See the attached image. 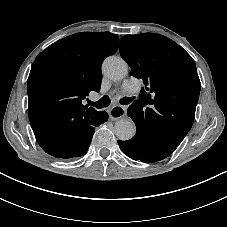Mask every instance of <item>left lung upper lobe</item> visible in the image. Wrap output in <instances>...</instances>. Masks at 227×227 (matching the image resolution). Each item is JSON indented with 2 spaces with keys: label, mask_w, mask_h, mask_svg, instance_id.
I'll return each instance as SVG.
<instances>
[{
  "label": "left lung upper lobe",
  "mask_w": 227,
  "mask_h": 227,
  "mask_svg": "<svg viewBox=\"0 0 227 227\" xmlns=\"http://www.w3.org/2000/svg\"><path fill=\"white\" fill-rule=\"evenodd\" d=\"M120 53L146 86L128 116L138 130L175 150L195 117L201 84L194 60L173 40L152 33L125 35Z\"/></svg>",
  "instance_id": "left-lung-upper-lobe-1"
}]
</instances>
